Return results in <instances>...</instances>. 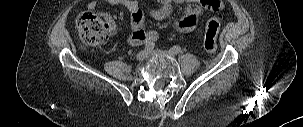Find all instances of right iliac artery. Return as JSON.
Instances as JSON below:
<instances>
[{"label":"right iliac artery","instance_id":"1","mask_svg":"<svg viewBox=\"0 0 303 127\" xmlns=\"http://www.w3.org/2000/svg\"><path fill=\"white\" fill-rule=\"evenodd\" d=\"M155 47V44L153 42H148L145 44L144 48L146 51H151L153 50Z\"/></svg>","mask_w":303,"mask_h":127}]
</instances>
